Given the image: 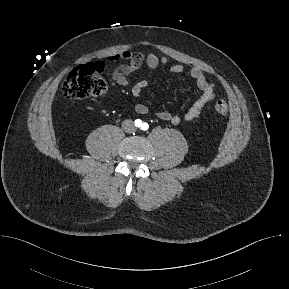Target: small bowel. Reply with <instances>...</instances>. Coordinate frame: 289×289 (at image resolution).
Segmentation results:
<instances>
[{
    "instance_id": "1",
    "label": "small bowel",
    "mask_w": 289,
    "mask_h": 289,
    "mask_svg": "<svg viewBox=\"0 0 289 289\" xmlns=\"http://www.w3.org/2000/svg\"><path fill=\"white\" fill-rule=\"evenodd\" d=\"M120 60H124L127 63L121 64L113 70L112 79L121 86L130 87L134 96H139L140 93L148 87L149 83L146 80L131 83L128 77L144 64L152 71L158 69L160 66H167L168 70L172 73H187L195 81L196 87L201 92V95L184 114V121L190 122L198 119L204 108L212 102L216 96L214 83L208 81L203 71L199 68L193 67L186 69L181 64L168 65V59L165 56L160 57L154 53H144L141 51L126 50L107 58V62L109 63H115ZM135 111L138 114L145 115L149 112V108L143 103H138L135 105ZM156 115L161 120L173 125L179 124L182 120L179 115L172 114L168 111H158Z\"/></svg>"
}]
</instances>
